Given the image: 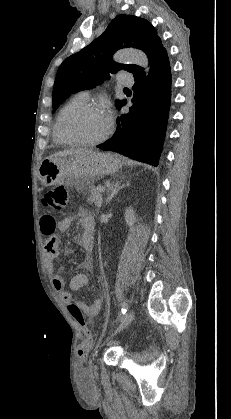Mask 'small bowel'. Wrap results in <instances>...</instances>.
<instances>
[{"instance_id":"c3829d8e","label":"small bowel","mask_w":231,"mask_h":419,"mask_svg":"<svg viewBox=\"0 0 231 419\" xmlns=\"http://www.w3.org/2000/svg\"><path fill=\"white\" fill-rule=\"evenodd\" d=\"M76 218L82 222L83 232L81 235H76L74 240L80 244L86 251L87 256L85 265L92 266V251L94 245L95 221L90 211L86 209L79 210L77 216H67L60 221H56L54 217L46 215L40 219V229L44 235L48 236L45 243L46 262L50 271H53L54 263L59 254L60 237L56 231H67L74 223ZM88 284V278L84 273H78L73 276L69 284V291L65 290V280L60 274H54L52 277V285L56 292H58L62 299L70 304L75 305L83 316L95 317L102 309V301L97 299L91 304L74 299L73 292L80 290ZM71 312V311H70ZM73 315V314H72Z\"/></svg>"}]
</instances>
